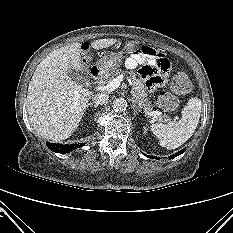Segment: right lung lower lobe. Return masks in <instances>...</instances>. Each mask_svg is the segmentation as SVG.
<instances>
[{
  "label": "right lung lower lobe",
  "instance_id": "1",
  "mask_svg": "<svg viewBox=\"0 0 233 233\" xmlns=\"http://www.w3.org/2000/svg\"><path fill=\"white\" fill-rule=\"evenodd\" d=\"M84 144L78 143V144H55V143H50L47 142V146L50 150L54 152H59V153H69L72 150H75L79 147H82Z\"/></svg>",
  "mask_w": 233,
  "mask_h": 233
}]
</instances>
